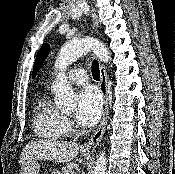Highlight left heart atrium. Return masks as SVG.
I'll list each match as a JSON object with an SVG mask.
<instances>
[{
    "label": "left heart atrium",
    "mask_w": 175,
    "mask_h": 174,
    "mask_svg": "<svg viewBox=\"0 0 175 174\" xmlns=\"http://www.w3.org/2000/svg\"><path fill=\"white\" fill-rule=\"evenodd\" d=\"M102 98L100 93L91 86L82 89L78 95L76 120L84 127H91L97 123L102 113Z\"/></svg>",
    "instance_id": "left-heart-atrium-1"
}]
</instances>
